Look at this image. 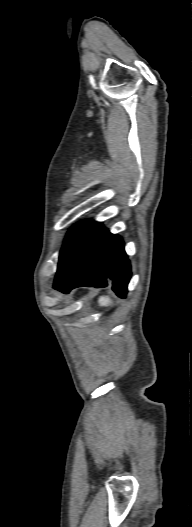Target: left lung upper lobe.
Wrapping results in <instances>:
<instances>
[{
	"label": "left lung upper lobe",
	"instance_id": "1",
	"mask_svg": "<svg viewBox=\"0 0 192 527\" xmlns=\"http://www.w3.org/2000/svg\"><path fill=\"white\" fill-rule=\"evenodd\" d=\"M85 222H81V223H78L76 224L74 227H72L70 229V231L68 232L65 240H64V245H63V248L60 252V254L63 252L64 248L66 247V245L69 243V241L73 238V236L76 234V232L82 227V225L84 224Z\"/></svg>",
	"mask_w": 192,
	"mask_h": 527
}]
</instances>
